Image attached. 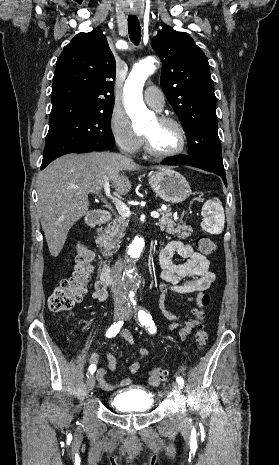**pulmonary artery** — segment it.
I'll return each instance as SVG.
<instances>
[{
  "label": "pulmonary artery",
  "mask_w": 279,
  "mask_h": 465,
  "mask_svg": "<svg viewBox=\"0 0 279 465\" xmlns=\"http://www.w3.org/2000/svg\"><path fill=\"white\" fill-rule=\"evenodd\" d=\"M144 99L150 107L158 111L163 108L165 103L163 93L155 86H150L145 90Z\"/></svg>",
  "instance_id": "1"
}]
</instances>
